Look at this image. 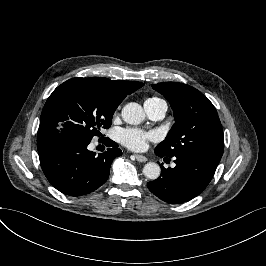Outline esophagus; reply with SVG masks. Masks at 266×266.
<instances>
[{
	"label": "esophagus",
	"instance_id": "obj_1",
	"mask_svg": "<svg viewBox=\"0 0 266 266\" xmlns=\"http://www.w3.org/2000/svg\"><path fill=\"white\" fill-rule=\"evenodd\" d=\"M135 156V159L138 161V162H146L147 161V158L144 157L143 155H140V154H134Z\"/></svg>",
	"mask_w": 266,
	"mask_h": 266
}]
</instances>
